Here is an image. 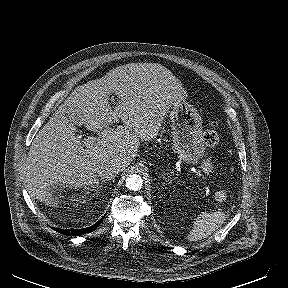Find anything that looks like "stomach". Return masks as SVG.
<instances>
[{
  "mask_svg": "<svg viewBox=\"0 0 288 288\" xmlns=\"http://www.w3.org/2000/svg\"><path fill=\"white\" fill-rule=\"evenodd\" d=\"M169 118L174 152L187 164L198 163L206 149L200 114L193 105L184 100H177L170 109Z\"/></svg>",
  "mask_w": 288,
  "mask_h": 288,
  "instance_id": "1",
  "label": "stomach"
}]
</instances>
